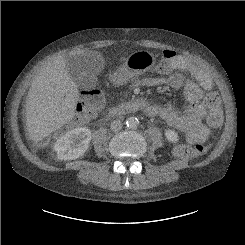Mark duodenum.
Masks as SVG:
<instances>
[{
    "mask_svg": "<svg viewBox=\"0 0 245 245\" xmlns=\"http://www.w3.org/2000/svg\"><path fill=\"white\" fill-rule=\"evenodd\" d=\"M153 107V105L143 99H137L133 102L126 103L118 108H115L110 111L109 118L118 119L122 116L129 115L138 111H145L149 108Z\"/></svg>",
    "mask_w": 245,
    "mask_h": 245,
    "instance_id": "obj_1",
    "label": "duodenum"
}]
</instances>
